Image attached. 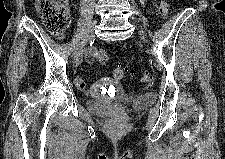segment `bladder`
Here are the masks:
<instances>
[{"instance_id": "obj_1", "label": "bladder", "mask_w": 225, "mask_h": 159, "mask_svg": "<svg viewBox=\"0 0 225 159\" xmlns=\"http://www.w3.org/2000/svg\"><path fill=\"white\" fill-rule=\"evenodd\" d=\"M151 96L139 95L126 98L124 102L133 109H142L152 103ZM88 109L95 114L106 113V103L102 99H91L88 101Z\"/></svg>"}]
</instances>
